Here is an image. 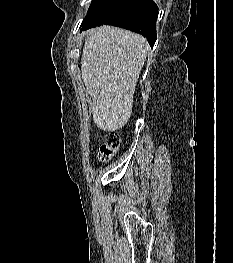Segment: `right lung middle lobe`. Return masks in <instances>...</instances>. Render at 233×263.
<instances>
[{"mask_svg":"<svg viewBox=\"0 0 233 263\" xmlns=\"http://www.w3.org/2000/svg\"><path fill=\"white\" fill-rule=\"evenodd\" d=\"M128 0H93L84 21L103 23L112 18Z\"/></svg>","mask_w":233,"mask_h":263,"instance_id":"dd1d6c3e","label":"right lung middle lobe"}]
</instances>
